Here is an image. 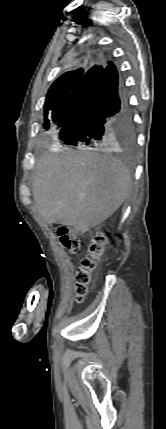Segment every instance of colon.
I'll use <instances>...</instances> for the list:
<instances>
[{
	"label": "colon",
	"instance_id": "colon-1",
	"mask_svg": "<svg viewBox=\"0 0 166 429\" xmlns=\"http://www.w3.org/2000/svg\"><path fill=\"white\" fill-rule=\"evenodd\" d=\"M57 233L61 244L70 253L74 254L80 250L81 240L79 234L75 230L66 226H61L58 228ZM107 246V237L102 232L97 233L92 239L88 252L81 260L76 273L75 295L77 302H82L87 295L92 283V272L106 256Z\"/></svg>",
	"mask_w": 166,
	"mask_h": 429
}]
</instances>
